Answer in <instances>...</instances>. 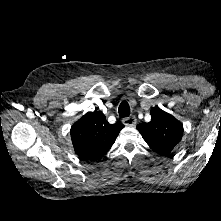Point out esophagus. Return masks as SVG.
Here are the masks:
<instances>
[{
  "instance_id": "obj_1",
  "label": "esophagus",
  "mask_w": 221,
  "mask_h": 221,
  "mask_svg": "<svg viewBox=\"0 0 221 221\" xmlns=\"http://www.w3.org/2000/svg\"><path fill=\"white\" fill-rule=\"evenodd\" d=\"M137 120L134 116H130L123 119V124L127 127H134L136 126Z\"/></svg>"
}]
</instances>
